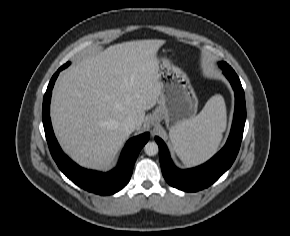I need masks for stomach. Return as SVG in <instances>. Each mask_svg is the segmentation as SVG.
<instances>
[{
  "label": "stomach",
  "mask_w": 290,
  "mask_h": 236,
  "mask_svg": "<svg viewBox=\"0 0 290 236\" xmlns=\"http://www.w3.org/2000/svg\"><path fill=\"white\" fill-rule=\"evenodd\" d=\"M157 62L160 96L151 120L153 123L165 120L171 130L195 117L198 99L185 72L166 58H160Z\"/></svg>",
  "instance_id": "obj_1"
}]
</instances>
